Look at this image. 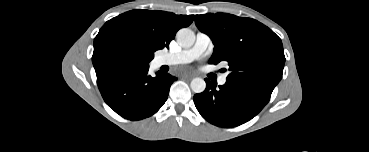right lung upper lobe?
Returning a JSON list of instances; mask_svg holds the SVG:
<instances>
[{"label":"right lung upper lobe","mask_w":369,"mask_h":152,"mask_svg":"<svg viewBox=\"0 0 369 152\" xmlns=\"http://www.w3.org/2000/svg\"><path fill=\"white\" fill-rule=\"evenodd\" d=\"M194 15L135 9L107 21L94 39V55L132 49L152 60L154 52L169 48L176 32L188 27Z\"/></svg>","instance_id":"1"}]
</instances>
